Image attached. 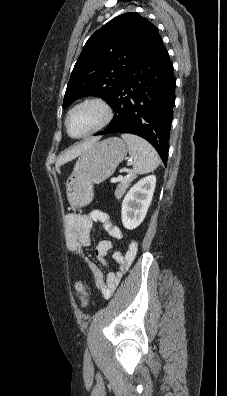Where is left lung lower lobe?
<instances>
[{
    "instance_id": "obj_1",
    "label": "left lung lower lobe",
    "mask_w": 227,
    "mask_h": 396,
    "mask_svg": "<svg viewBox=\"0 0 227 396\" xmlns=\"http://www.w3.org/2000/svg\"><path fill=\"white\" fill-rule=\"evenodd\" d=\"M175 84L173 65L160 39L128 72L110 104L114 119L95 135H138L153 145L166 165Z\"/></svg>"
}]
</instances>
